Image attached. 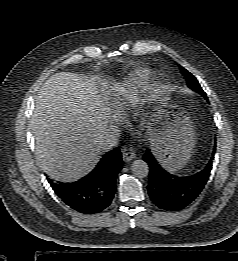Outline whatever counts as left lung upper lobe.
<instances>
[{
  "label": "left lung upper lobe",
  "instance_id": "1",
  "mask_svg": "<svg viewBox=\"0 0 238 261\" xmlns=\"http://www.w3.org/2000/svg\"><path fill=\"white\" fill-rule=\"evenodd\" d=\"M182 75L185 77L187 85L190 89L201 93L206 98V93L202 90L200 84L198 83L197 79L185 68L180 67Z\"/></svg>",
  "mask_w": 238,
  "mask_h": 261
}]
</instances>
